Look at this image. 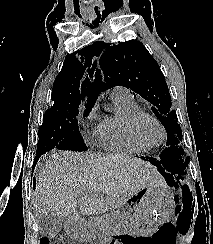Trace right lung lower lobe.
Instances as JSON below:
<instances>
[{
    "mask_svg": "<svg viewBox=\"0 0 213 244\" xmlns=\"http://www.w3.org/2000/svg\"><path fill=\"white\" fill-rule=\"evenodd\" d=\"M41 156V154H37L36 157H35V162H34V166L36 164V162L38 161V158Z\"/></svg>",
    "mask_w": 213,
    "mask_h": 244,
    "instance_id": "1",
    "label": "right lung lower lobe"
}]
</instances>
